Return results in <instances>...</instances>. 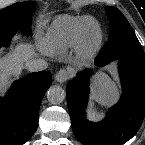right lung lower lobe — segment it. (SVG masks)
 <instances>
[{
    "label": "right lung lower lobe",
    "mask_w": 145,
    "mask_h": 145,
    "mask_svg": "<svg viewBox=\"0 0 145 145\" xmlns=\"http://www.w3.org/2000/svg\"><path fill=\"white\" fill-rule=\"evenodd\" d=\"M52 83L51 73L40 71L16 80L0 98V145H23L36 131L41 100Z\"/></svg>",
    "instance_id": "obj_1"
}]
</instances>
